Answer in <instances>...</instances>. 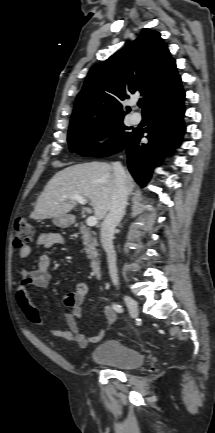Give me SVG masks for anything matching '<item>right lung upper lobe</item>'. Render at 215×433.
Wrapping results in <instances>:
<instances>
[{
    "mask_svg": "<svg viewBox=\"0 0 215 433\" xmlns=\"http://www.w3.org/2000/svg\"><path fill=\"white\" fill-rule=\"evenodd\" d=\"M180 83L175 60L160 33L143 31L129 46L91 68L70 125L124 117L120 101L129 94L139 90L148 106Z\"/></svg>",
    "mask_w": 215,
    "mask_h": 433,
    "instance_id": "obj_1",
    "label": "right lung upper lobe"
}]
</instances>
